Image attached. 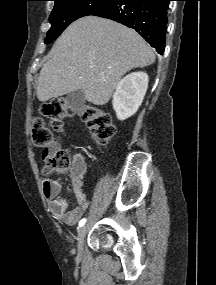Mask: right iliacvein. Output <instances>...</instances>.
I'll use <instances>...</instances> for the list:
<instances>
[{
    "label": "right iliac vein",
    "mask_w": 216,
    "mask_h": 285,
    "mask_svg": "<svg viewBox=\"0 0 216 285\" xmlns=\"http://www.w3.org/2000/svg\"><path fill=\"white\" fill-rule=\"evenodd\" d=\"M87 232V227L81 226L78 230V236H77V250L79 253L82 252L83 250V242H84V238Z\"/></svg>",
    "instance_id": "1"
}]
</instances>
